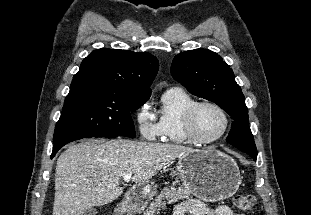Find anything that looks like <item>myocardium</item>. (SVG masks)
<instances>
[{
  "label": "myocardium",
  "instance_id": "myocardium-1",
  "mask_svg": "<svg viewBox=\"0 0 311 215\" xmlns=\"http://www.w3.org/2000/svg\"><path fill=\"white\" fill-rule=\"evenodd\" d=\"M205 106L215 108L217 111L220 112L224 120V125H223L222 130L217 135L211 138L201 137L198 134L196 130V126H195L196 115L198 111L200 110V108L205 107ZM183 124H184L185 134L192 143L210 144V143H214L218 141L227 132L229 128V117L225 109L221 107L219 104L212 102V101H201V102H195L185 111L184 117H183Z\"/></svg>",
  "mask_w": 311,
  "mask_h": 215
}]
</instances>
